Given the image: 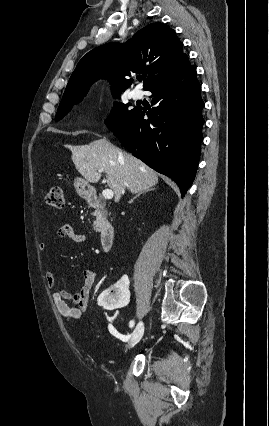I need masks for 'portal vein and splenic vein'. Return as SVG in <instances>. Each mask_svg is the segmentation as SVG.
Instances as JSON below:
<instances>
[{
	"label": "portal vein and splenic vein",
	"mask_w": 269,
	"mask_h": 426,
	"mask_svg": "<svg viewBox=\"0 0 269 426\" xmlns=\"http://www.w3.org/2000/svg\"><path fill=\"white\" fill-rule=\"evenodd\" d=\"M98 172L102 173V172H103V170L98 169ZM102 195H103V197H104L106 200H109V199H112V198H113L114 193H113V191H112L111 189H105V190H103Z\"/></svg>",
	"instance_id": "portal-vein-and-splenic-vein-1"
}]
</instances>
